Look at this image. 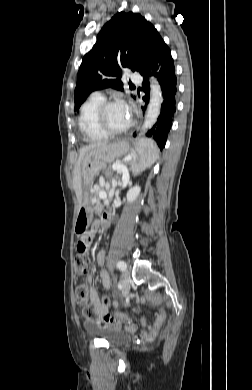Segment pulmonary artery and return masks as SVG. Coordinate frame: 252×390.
Instances as JSON below:
<instances>
[{"label": "pulmonary artery", "instance_id": "pulmonary-artery-1", "mask_svg": "<svg viewBox=\"0 0 252 390\" xmlns=\"http://www.w3.org/2000/svg\"><path fill=\"white\" fill-rule=\"evenodd\" d=\"M140 80H141V78H140L139 75H137V74H132V75H131V81H133V82H138V81H140ZM93 94H94V95H98V96H103L102 93L99 92V91H96V92H94Z\"/></svg>", "mask_w": 252, "mask_h": 390}]
</instances>
